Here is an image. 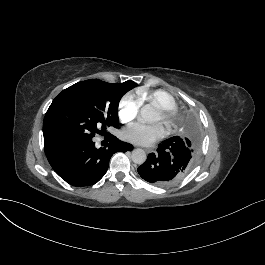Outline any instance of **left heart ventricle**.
I'll use <instances>...</instances> for the list:
<instances>
[{
    "label": "left heart ventricle",
    "mask_w": 265,
    "mask_h": 265,
    "mask_svg": "<svg viewBox=\"0 0 265 265\" xmlns=\"http://www.w3.org/2000/svg\"><path fill=\"white\" fill-rule=\"evenodd\" d=\"M161 119V115H160V113L158 112V114H157V121H159Z\"/></svg>",
    "instance_id": "left-heart-ventricle-1"
}]
</instances>
